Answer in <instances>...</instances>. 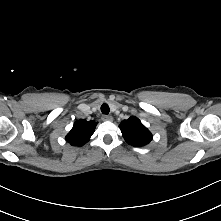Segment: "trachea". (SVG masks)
<instances>
[{
  "instance_id": "obj_1",
  "label": "trachea",
  "mask_w": 221,
  "mask_h": 221,
  "mask_svg": "<svg viewBox=\"0 0 221 221\" xmlns=\"http://www.w3.org/2000/svg\"><path fill=\"white\" fill-rule=\"evenodd\" d=\"M109 111H110V108H109V106L106 104V103H104V104H102V106H101V112L103 113V114H109Z\"/></svg>"
}]
</instances>
